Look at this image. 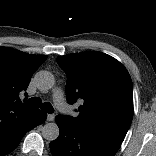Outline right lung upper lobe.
Masks as SVG:
<instances>
[{
	"label": "right lung upper lobe",
	"instance_id": "1",
	"mask_svg": "<svg viewBox=\"0 0 156 156\" xmlns=\"http://www.w3.org/2000/svg\"><path fill=\"white\" fill-rule=\"evenodd\" d=\"M46 58L0 47V126L26 119L36 111L20 104L19 93L26 91L33 73Z\"/></svg>",
	"mask_w": 156,
	"mask_h": 156
}]
</instances>
